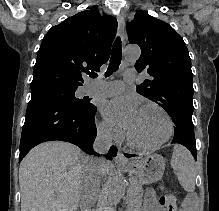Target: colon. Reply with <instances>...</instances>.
Here are the masks:
<instances>
[{
  "label": "colon",
  "mask_w": 219,
  "mask_h": 211,
  "mask_svg": "<svg viewBox=\"0 0 219 211\" xmlns=\"http://www.w3.org/2000/svg\"><path fill=\"white\" fill-rule=\"evenodd\" d=\"M160 205L165 207L168 211H173L176 207V198L171 193L162 195L159 199Z\"/></svg>",
  "instance_id": "obj_1"
}]
</instances>
